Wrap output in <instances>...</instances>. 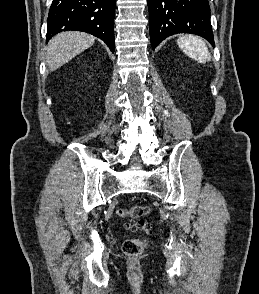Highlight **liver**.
Segmentation results:
<instances>
[{"label":"liver","instance_id":"1","mask_svg":"<svg viewBox=\"0 0 259 294\" xmlns=\"http://www.w3.org/2000/svg\"><path fill=\"white\" fill-rule=\"evenodd\" d=\"M92 35L79 31L62 32L48 43L46 62L50 71H55L76 55L94 44Z\"/></svg>","mask_w":259,"mask_h":294}]
</instances>
